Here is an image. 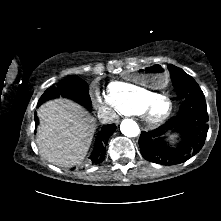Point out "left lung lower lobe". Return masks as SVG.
Returning <instances> with one entry per match:
<instances>
[{"mask_svg":"<svg viewBox=\"0 0 221 221\" xmlns=\"http://www.w3.org/2000/svg\"><path fill=\"white\" fill-rule=\"evenodd\" d=\"M208 113L205 96L182 101L178 114L155 130L142 132L139 146L142 156L153 163L176 165L197 154L208 132ZM176 134L178 142L169 145L168 136Z\"/></svg>","mask_w":221,"mask_h":221,"instance_id":"0a47b994","label":"left lung lower lobe"}]
</instances>
